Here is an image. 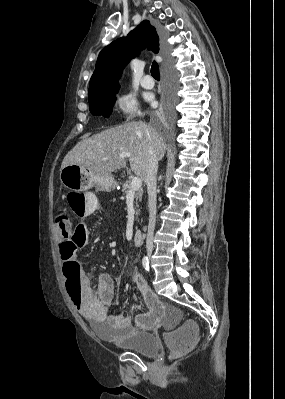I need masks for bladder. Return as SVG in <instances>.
Returning <instances> with one entry per match:
<instances>
[{
  "mask_svg": "<svg viewBox=\"0 0 285 399\" xmlns=\"http://www.w3.org/2000/svg\"><path fill=\"white\" fill-rule=\"evenodd\" d=\"M96 332L104 335L99 324H95ZM110 341L117 343L121 348L139 353L144 356H156L159 352V345L153 333L133 332L131 335L121 338L107 336Z\"/></svg>",
  "mask_w": 285,
  "mask_h": 399,
  "instance_id": "bladder-1",
  "label": "bladder"
}]
</instances>
